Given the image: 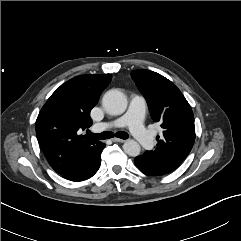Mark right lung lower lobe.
<instances>
[{
	"label": "right lung lower lobe",
	"mask_w": 241,
	"mask_h": 241,
	"mask_svg": "<svg viewBox=\"0 0 241 241\" xmlns=\"http://www.w3.org/2000/svg\"><path fill=\"white\" fill-rule=\"evenodd\" d=\"M104 147L105 144L102 143L94 152L79 158L59 174L71 181H82L92 177L100 167V156Z\"/></svg>",
	"instance_id": "1"
}]
</instances>
